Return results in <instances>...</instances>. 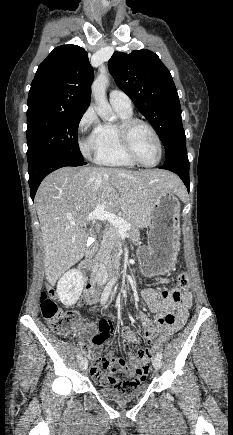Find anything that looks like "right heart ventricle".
Segmentation results:
<instances>
[{
  "instance_id": "obj_1",
  "label": "right heart ventricle",
  "mask_w": 233,
  "mask_h": 435,
  "mask_svg": "<svg viewBox=\"0 0 233 435\" xmlns=\"http://www.w3.org/2000/svg\"><path fill=\"white\" fill-rule=\"evenodd\" d=\"M120 116L117 123L104 122L100 124L98 141L99 148L96 160L99 165L121 168H134V164L125 154L118 132L121 121L132 118V111L114 107Z\"/></svg>"
}]
</instances>
